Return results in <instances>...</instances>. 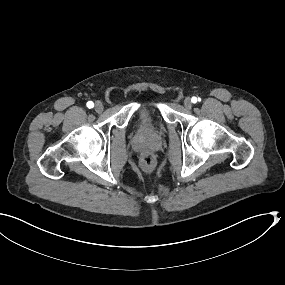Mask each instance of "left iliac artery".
Here are the masks:
<instances>
[{"label": "left iliac artery", "instance_id": "1", "mask_svg": "<svg viewBox=\"0 0 285 285\" xmlns=\"http://www.w3.org/2000/svg\"><path fill=\"white\" fill-rule=\"evenodd\" d=\"M192 103H196L197 101H200V98L198 97H192L191 99Z\"/></svg>", "mask_w": 285, "mask_h": 285}]
</instances>
